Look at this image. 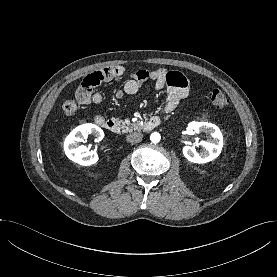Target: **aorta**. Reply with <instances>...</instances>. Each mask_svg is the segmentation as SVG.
<instances>
[{
	"label": "aorta",
	"mask_w": 277,
	"mask_h": 277,
	"mask_svg": "<svg viewBox=\"0 0 277 277\" xmlns=\"http://www.w3.org/2000/svg\"><path fill=\"white\" fill-rule=\"evenodd\" d=\"M161 139V136L158 132H153L150 136V140L153 142V143H158Z\"/></svg>",
	"instance_id": "aorta-1"
}]
</instances>
